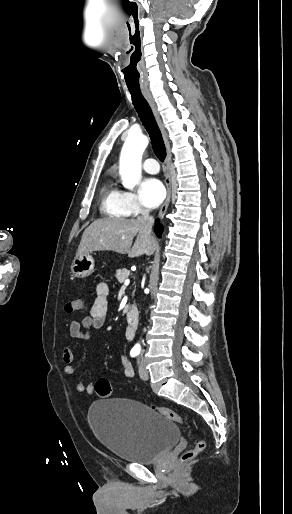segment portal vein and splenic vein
<instances>
[{
    "mask_svg": "<svg viewBox=\"0 0 292 514\" xmlns=\"http://www.w3.org/2000/svg\"><path fill=\"white\" fill-rule=\"evenodd\" d=\"M128 284H130V280H125L124 286H128Z\"/></svg>",
    "mask_w": 292,
    "mask_h": 514,
    "instance_id": "1",
    "label": "portal vein and splenic vein"
}]
</instances>
